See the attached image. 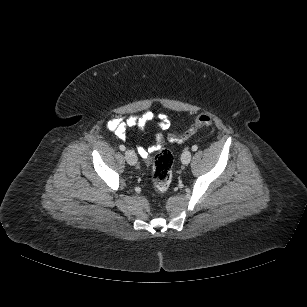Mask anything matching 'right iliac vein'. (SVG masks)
<instances>
[{
	"label": "right iliac vein",
	"instance_id": "obj_1",
	"mask_svg": "<svg viewBox=\"0 0 307 307\" xmlns=\"http://www.w3.org/2000/svg\"><path fill=\"white\" fill-rule=\"evenodd\" d=\"M125 159L128 164L135 165L137 163V156L134 151L126 150L125 151Z\"/></svg>",
	"mask_w": 307,
	"mask_h": 307
}]
</instances>
